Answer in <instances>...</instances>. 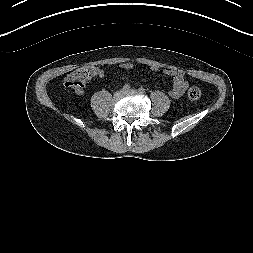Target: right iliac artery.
Segmentation results:
<instances>
[{
    "label": "right iliac artery",
    "instance_id": "obj_1",
    "mask_svg": "<svg viewBox=\"0 0 253 253\" xmlns=\"http://www.w3.org/2000/svg\"><path fill=\"white\" fill-rule=\"evenodd\" d=\"M123 89H124V90L130 89V85H129V84H125V85L123 86Z\"/></svg>",
    "mask_w": 253,
    "mask_h": 253
}]
</instances>
